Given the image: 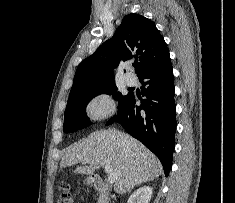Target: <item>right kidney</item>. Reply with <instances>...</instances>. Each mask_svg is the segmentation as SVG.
<instances>
[{
    "instance_id": "right-kidney-1",
    "label": "right kidney",
    "mask_w": 235,
    "mask_h": 203,
    "mask_svg": "<svg viewBox=\"0 0 235 203\" xmlns=\"http://www.w3.org/2000/svg\"><path fill=\"white\" fill-rule=\"evenodd\" d=\"M153 188L144 186L137 189L128 199L127 203H149L152 197Z\"/></svg>"
}]
</instances>
